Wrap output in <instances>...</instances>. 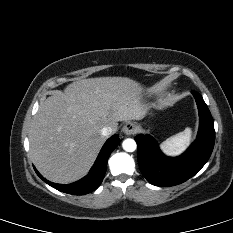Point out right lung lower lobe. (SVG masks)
I'll use <instances>...</instances> for the list:
<instances>
[{"label": "right lung lower lobe", "instance_id": "obj_1", "mask_svg": "<svg viewBox=\"0 0 233 233\" xmlns=\"http://www.w3.org/2000/svg\"><path fill=\"white\" fill-rule=\"evenodd\" d=\"M120 139L118 135H114L111 138L107 140V142L104 144L102 147L95 164L91 168L89 174L84 177L83 179L72 183V184H56L49 182L45 178H43L40 173L35 169L37 175L45 181L47 184L51 185L52 187L56 188L57 190L68 193V194H73V195H84L88 194L95 189L99 187V185L102 183V180L104 178L105 172H106V167H107V161L112 153V151L117 147L119 144Z\"/></svg>", "mask_w": 233, "mask_h": 233}]
</instances>
